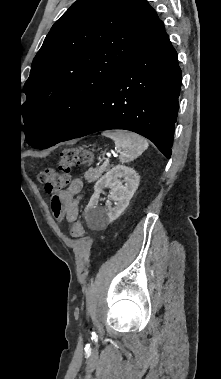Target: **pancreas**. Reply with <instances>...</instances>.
<instances>
[{
	"label": "pancreas",
	"mask_w": 221,
	"mask_h": 379,
	"mask_svg": "<svg viewBox=\"0 0 221 379\" xmlns=\"http://www.w3.org/2000/svg\"><path fill=\"white\" fill-rule=\"evenodd\" d=\"M104 171H106L105 166H101L100 168H96V169H89L87 172H85L84 178L88 182H94L97 179H99V177L103 174Z\"/></svg>",
	"instance_id": "pancreas-1"
}]
</instances>
